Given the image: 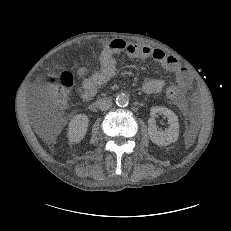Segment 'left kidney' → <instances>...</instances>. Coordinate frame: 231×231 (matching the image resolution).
Listing matches in <instances>:
<instances>
[{"instance_id":"obj_1","label":"left kidney","mask_w":231,"mask_h":231,"mask_svg":"<svg viewBox=\"0 0 231 231\" xmlns=\"http://www.w3.org/2000/svg\"><path fill=\"white\" fill-rule=\"evenodd\" d=\"M164 115L168 119L169 127L165 131L157 129L155 116ZM151 118L148 120V134L151 141L159 146H167L177 141L179 124L177 115L166 107L155 106L150 109Z\"/></svg>"}]
</instances>
